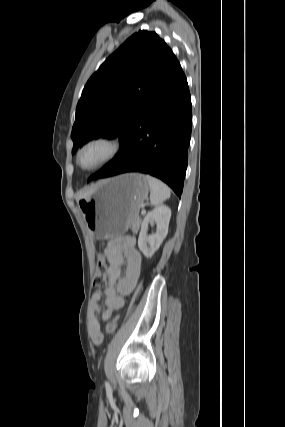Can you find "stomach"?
<instances>
[{
	"label": "stomach",
	"instance_id": "stomach-1",
	"mask_svg": "<svg viewBox=\"0 0 285 427\" xmlns=\"http://www.w3.org/2000/svg\"><path fill=\"white\" fill-rule=\"evenodd\" d=\"M148 193L146 176L129 173L101 181L77 204L89 232L99 239H111L133 224Z\"/></svg>",
	"mask_w": 285,
	"mask_h": 427
}]
</instances>
